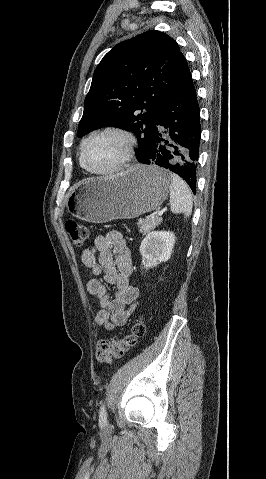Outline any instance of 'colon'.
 Returning <instances> with one entry per match:
<instances>
[{
    "label": "colon",
    "mask_w": 266,
    "mask_h": 479,
    "mask_svg": "<svg viewBox=\"0 0 266 479\" xmlns=\"http://www.w3.org/2000/svg\"><path fill=\"white\" fill-rule=\"evenodd\" d=\"M65 229L76 247H83L90 237L89 228L74 219L66 221ZM144 332V324L138 320L123 336L99 340L96 347L97 360L110 364L113 360L122 358L136 344L137 339L144 335Z\"/></svg>",
    "instance_id": "1"
}]
</instances>
